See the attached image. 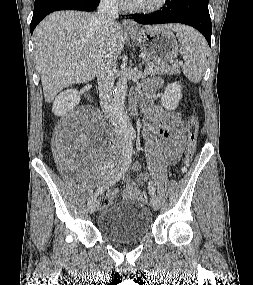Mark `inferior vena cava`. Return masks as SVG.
<instances>
[{"mask_svg": "<svg viewBox=\"0 0 253 285\" xmlns=\"http://www.w3.org/2000/svg\"><path fill=\"white\" fill-rule=\"evenodd\" d=\"M118 0H100L97 13L94 15V24L100 29L106 39L100 48L96 67L100 105L104 114L116 123L113 88L116 74V56L110 48L107 39L113 25L118 18Z\"/></svg>", "mask_w": 253, "mask_h": 285, "instance_id": "1", "label": "inferior vena cava"}]
</instances>
